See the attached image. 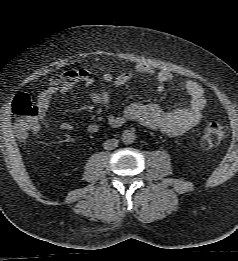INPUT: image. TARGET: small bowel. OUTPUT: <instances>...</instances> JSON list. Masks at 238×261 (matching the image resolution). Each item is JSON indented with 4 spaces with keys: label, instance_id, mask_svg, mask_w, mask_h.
<instances>
[{
    "label": "small bowel",
    "instance_id": "1",
    "mask_svg": "<svg viewBox=\"0 0 238 261\" xmlns=\"http://www.w3.org/2000/svg\"><path fill=\"white\" fill-rule=\"evenodd\" d=\"M145 75L150 77L158 92L162 91L165 85L174 79V75L166 70H157L150 65L139 63L134 71H127L113 76L106 73L103 76V87L94 88V79L86 70L69 71L55 79L45 88L37 98L38 121L45 127L46 115L50 103L57 94H66L79 84L88 87L91 100L105 109H109L111 100V89L126 84L135 76ZM179 87L188 95L185 106L173 111H164L158 104L132 103L128 105L121 114L108 115V124L112 128H118L126 122H138L142 126L158 130L168 136H179L196 126L201 118L206 104L204 89L201 85L189 78H181ZM64 132H70L74 126L70 122H64L60 126ZM87 132L95 134L99 131L97 123L87 125Z\"/></svg>",
    "mask_w": 238,
    "mask_h": 261
}]
</instances>
